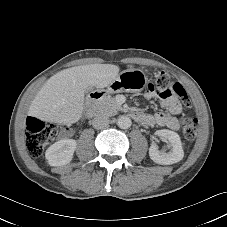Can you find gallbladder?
I'll list each match as a JSON object with an SVG mask.
<instances>
[{"label":"gallbladder","instance_id":"gallbladder-1","mask_svg":"<svg viewBox=\"0 0 227 227\" xmlns=\"http://www.w3.org/2000/svg\"><path fill=\"white\" fill-rule=\"evenodd\" d=\"M91 90H92V88H91V87H89V88L87 89V91H86V92L91 91Z\"/></svg>","mask_w":227,"mask_h":227}]
</instances>
